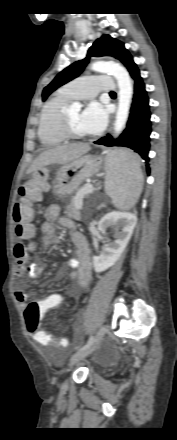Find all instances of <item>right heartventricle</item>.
Masks as SVG:
<instances>
[{"label":"right heart ventricle","mask_w":177,"mask_h":440,"mask_svg":"<svg viewBox=\"0 0 177 440\" xmlns=\"http://www.w3.org/2000/svg\"><path fill=\"white\" fill-rule=\"evenodd\" d=\"M74 98L63 88L44 104L38 123V138L44 147H55L65 142L61 132V114Z\"/></svg>","instance_id":"e07e8e85"}]
</instances>
